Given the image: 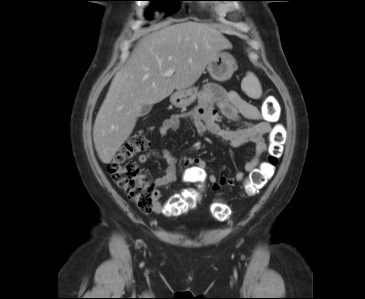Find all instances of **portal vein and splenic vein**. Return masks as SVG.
<instances>
[{"mask_svg":"<svg viewBox=\"0 0 365 299\" xmlns=\"http://www.w3.org/2000/svg\"><path fill=\"white\" fill-rule=\"evenodd\" d=\"M175 72V69H169L163 73V76L165 77H171Z\"/></svg>","mask_w":365,"mask_h":299,"instance_id":"obj_1","label":"portal vein and splenic vein"}]
</instances>
